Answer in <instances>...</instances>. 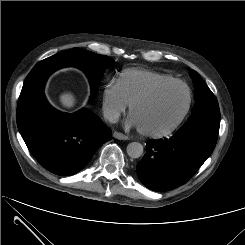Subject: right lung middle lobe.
Here are the masks:
<instances>
[{"label":"right lung middle lobe","instance_id":"obj_1","mask_svg":"<svg viewBox=\"0 0 245 245\" xmlns=\"http://www.w3.org/2000/svg\"><path fill=\"white\" fill-rule=\"evenodd\" d=\"M49 58H51V63L58 68L74 66L80 68L87 75L92 91V97L90 98L91 101H93V97H95L97 93L105 70L115 62L107 56L99 55L80 48H73L71 50L55 54ZM41 94L35 93L31 85L23 84L18 100V108L25 107Z\"/></svg>","mask_w":245,"mask_h":245}]
</instances>
